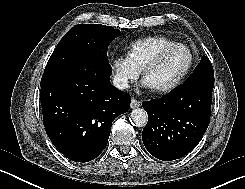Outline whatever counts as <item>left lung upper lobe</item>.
<instances>
[{"label":"left lung upper lobe","mask_w":245,"mask_h":189,"mask_svg":"<svg viewBox=\"0 0 245 189\" xmlns=\"http://www.w3.org/2000/svg\"><path fill=\"white\" fill-rule=\"evenodd\" d=\"M200 80L214 85L213 67L207 56H203L188 81Z\"/></svg>","instance_id":"1"}]
</instances>
